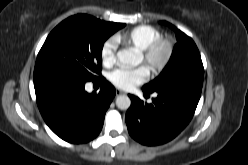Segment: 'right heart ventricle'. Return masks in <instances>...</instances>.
<instances>
[{
	"label": "right heart ventricle",
	"instance_id": "obj_1",
	"mask_svg": "<svg viewBox=\"0 0 248 165\" xmlns=\"http://www.w3.org/2000/svg\"><path fill=\"white\" fill-rule=\"evenodd\" d=\"M159 37H161V32L157 28L150 25H139L118 34L115 39L123 45L132 46L142 51Z\"/></svg>",
	"mask_w": 248,
	"mask_h": 165
}]
</instances>
